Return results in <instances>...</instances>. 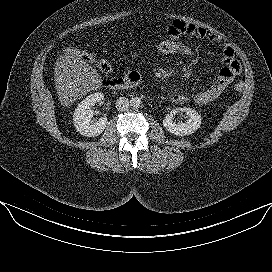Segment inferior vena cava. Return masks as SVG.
Listing matches in <instances>:
<instances>
[{
    "label": "inferior vena cava",
    "instance_id": "obj_1",
    "mask_svg": "<svg viewBox=\"0 0 272 272\" xmlns=\"http://www.w3.org/2000/svg\"><path fill=\"white\" fill-rule=\"evenodd\" d=\"M129 107V100L126 97H119L116 100V108L118 111H126Z\"/></svg>",
    "mask_w": 272,
    "mask_h": 272
}]
</instances>
